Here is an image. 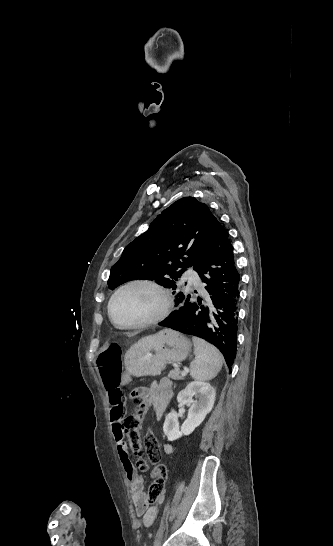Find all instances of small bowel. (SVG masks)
I'll list each match as a JSON object with an SVG mask.
<instances>
[{"instance_id":"obj_1","label":"small bowel","mask_w":333,"mask_h":546,"mask_svg":"<svg viewBox=\"0 0 333 546\" xmlns=\"http://www.w3.org/2000/svg\"><path fill=\"white\" fill-rule=\"evenodd\" d=\"M121 374L123 381L120 384L123 387H126L128 385L127 381L131 380L132 378L130 375L131 373L128 370H123ZM140 396L150 407H152L156 417L160 419L166 411L173 396L172 381L164 378L154 382L149 388L142 389L140 391ZM109 401L111 404L110 421L112 434L117 444L120 462L130 485L135 511L141 516L139 523L145 527H149L154 523L158 509L156 506L149 507V503L146 500L143 478L136 471L129 456L128 448L124 440L125 430L122 425V420L125 414L124 405L120 401L115 403L112 402L110 393ZM173 450L174 449L171 444H165V451L167 453H172ZM150 476L154 479V471L151 472Z\"/></svg>"}]
</instances>
